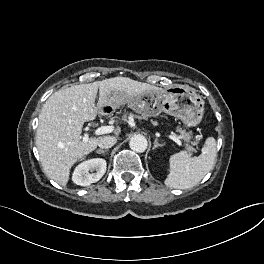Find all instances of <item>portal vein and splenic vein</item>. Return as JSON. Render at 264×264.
<instances>
[{
	"label": "portal vein and splenic vein",
	"instance_id": "obj_1",
	"mask_svg": "<svg viewBox=\"0 0 264 264\" xmlns=\"http://www.w3.org/2000/svg\"><path fill=\"white\" fill-rule=\"evenodd\" d=\"M114 130H115V128L113 126H101L95 130L94 135H102V134L112 133ZM168 137L171 140H173L174 142H176L179 146H182V142L179 139V137H176L173 135H169ZM88 139H89V134L84 133L83 143H86L88 141Z\"/></svg>",
	"mask_w": 264,
	"mask_h": 264
}]
</instances>
